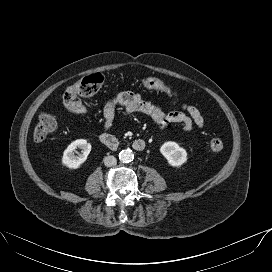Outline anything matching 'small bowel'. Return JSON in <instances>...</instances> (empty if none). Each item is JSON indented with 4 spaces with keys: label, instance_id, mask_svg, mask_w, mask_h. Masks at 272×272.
<instances>
[{
    "label": "small bowel",
    "instance_id": "obj_1",
    "mask_svg": "<svg viewBox=\"0 0 272 272\" xmlns=\"http://www.w3.org/2000/svg\"><path fill=\"white\" fill-rule=\"evenodd\" d=\"M173 104L179 106L181 110L167 113L160 106L139 94L129 91L122 92L105 104L103 130L107 132L111 129L118 110L122 115L145 114L161 129L171 123L182 124L186 132H191L195 126L200 129L204 128V118L195 106L177 102Z\"/></svg>",
    "mask_w": 272,
    "mask_h": 272
}]
</instances>
